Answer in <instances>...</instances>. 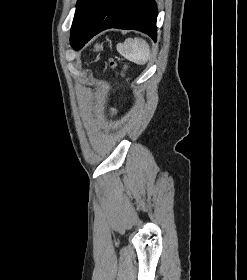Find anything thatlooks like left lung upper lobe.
Segmentation results:
<instances>
[{
    "label": "left lung upper lobe",
    "instance_id": "obj_1",
    "mask_svg": "<svg viewBox=\"0 0 247 280\" xmlns=\"http://www.w3.org/2000/svg\"><path fill=\"white\" fill-rule=\"evenodd\" d=\"M100 1L101 0H78L71 27V36H75L78 33L89 13Z\"/></svg>",
    "mask_w": 247,
    "mask_h": 280
}]
</instances>
